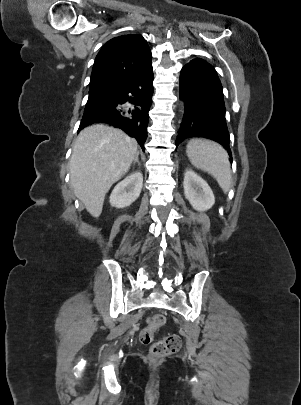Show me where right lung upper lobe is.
Segmentation results:
<instances>
[{
	"instance_id": "obj_1",
	"label": "right lung upper lobe",
	"mask_w": 301,
	"mask_h": 405,
	"mask_svg": "<svg viewBox=\"0 0 301 405\" xmlns=\"http://www.w3.org/2000/svg\"><path fill=\"white\" fill-rule=\"evenodd\" d=\"M152 58L146 40L138 34L114 37L96 56L89 92H116L138 74Z\"/></svg>"
}]
</instances>
